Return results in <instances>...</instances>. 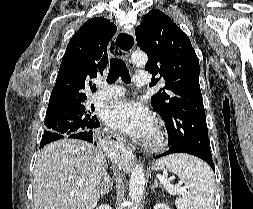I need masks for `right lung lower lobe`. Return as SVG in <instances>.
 Instances as JSON below:
<instances>
[{"instance_id": "obj_1", "label": "right lung lower lobe", "mask_w": 253, "mask_h": 209, "mask_svg": "<svg viewBox=\"0 0 253 209\" xmlns=\"http://www.w3.org/2000/svg\"><path fill=\"white\" fill-rule=\"evenodd\" d=\"M98 127H99V121L97 119V121L95 122L93 128L90 129L89 131H84V132L72 134L70 136H71V138L85 140V141H88L90 143H94L96 145L95 138L97 137V134L95 133L94 129L98 128ZM41 147L42 146H40V148Z\"/></svg>"}]
</instances>
